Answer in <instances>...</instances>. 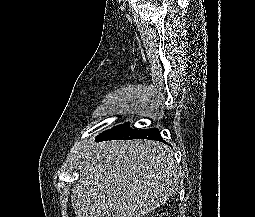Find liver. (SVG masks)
Here are the masks:
<instances>
[{"mask_svg":"<svg viewBox=\"0 0 255 217\" xmlns=\"http://www.w3.org/2000/svg\"><path fill=\"white\" fill-rule=\"evenodd\" d=\"M81 155L71 197L76 217H143L177 192L174 154L163 143L101 142Z\"/></svg>","mask_w":255,"mask_h":217,"instance_id":"liver-1","label":"liver"}]
</instances>
